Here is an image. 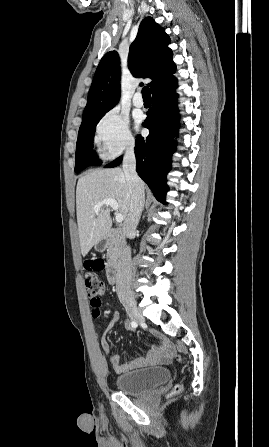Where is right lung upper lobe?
I'll return each instance as SVG.
<instances>
[{
    "instance_id": "right-lung-upper-lobe-1",
    "label": "right lung upper lobe",
    "mask_w": 269,
    "mask_h": 447,
    "mask_svg": "<svg viewBox=\"0 0 269 447\" xmlns=\"http://www.w3.org/2000/svg\"><path fill=\"white\" fill-rule=\"evenodd\" d=\"M170 39L153 18L146 17L140 24L136 39L129 49L128 67L134 77L153 79V86L175 70ZM119 56L116 51L106 53L101 59L89 90L81 127L104 116L120 98Z\"/></svg>"
}]
</instances>
